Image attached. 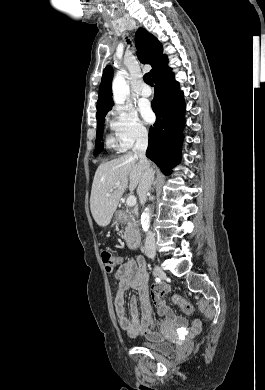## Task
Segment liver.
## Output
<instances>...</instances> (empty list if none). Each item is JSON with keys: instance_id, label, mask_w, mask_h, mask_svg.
<instances>
[{"instance_id": "liver-1", "label": "liver", "mask_w": 265, "mask_h": 390, "mask_svg": "<svg viewBox=\"0 0 265 390\" xmlns=\"http://www.w3.org/2000/svg\"><path fill=\"white\" fill-rule=\"evenodd\" d=\"M143 173V164L133 152L98 166L92 184L90 209L99 226L110 223L123 193L127 188L131 192L135 190Z\"/></svg>"}]
</instances>
